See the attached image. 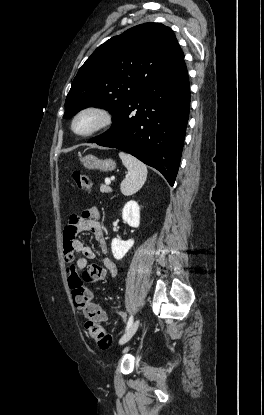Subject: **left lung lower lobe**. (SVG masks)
Segmentation results:
<instances>
[{
  "instance_id": "obj_1",
  "label": "left lung lower lobe",
  "mask_w": 264,
  "mask_h": 415,
  "mask_svg": "<svg viewBox=\"0 0 264 415\" xmlns=\"http://www.w3.org/2000/svg\"><path fill=\"white\" fill-rule=\"evenodd\" d=\"M190 107L184 60L141 90L114 118L112 127L91 139L125 151L156 168L173 186L178 172Z\"/></svg>"
}]
</instances>
